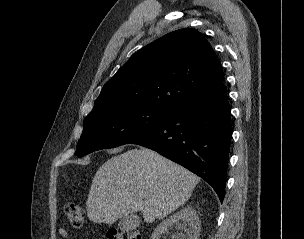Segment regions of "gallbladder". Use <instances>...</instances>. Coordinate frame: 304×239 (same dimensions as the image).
I'll list each match as a JSON object with an SVG mask.
<instances>
[{
  "label": "gallbladder",
  "instance_id": "obj_1",
  "mask_svg": "<svg viewBox=\"0 0 304 239\" xmlns=\"http://www.w3.org/2000/svg\"><path fill=\"white\" fill-rule=\"evenodd\" d=\"M140 219L137 215L131 214L124 216L118 223V228L121 231H130L134 230L139 226Z\"/></svg>",
  "mask_w": 304,
  "mask_h": 239
}]
</instances>
